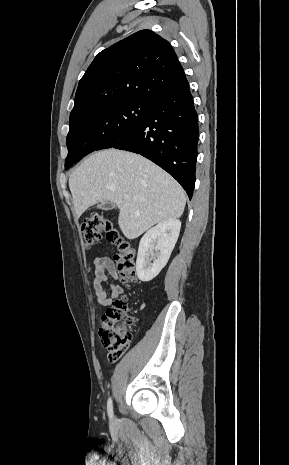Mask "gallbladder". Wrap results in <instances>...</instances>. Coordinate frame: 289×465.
Instances as JSON below:
<instances>
[{
	"instance_id": "bac80fb5",
	"label": "gallbladder",
	"mask_w": 289,
	"mask_h": 465,
	"mask_svg": "<svg viewBox=\"0 0 289 465\" xmlns=\"http://www.w3.org/2000/svg\"><path fill=\"white\" fill-rule=\"evenodd\" d=\"M100 209L107 210V209H112L115 207V205L112 202H102L97 206Z\"/></svg>"
}]
</instances>
